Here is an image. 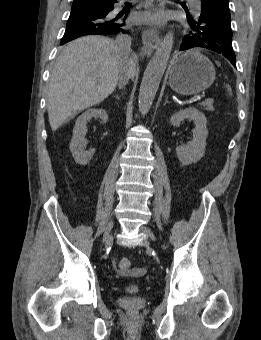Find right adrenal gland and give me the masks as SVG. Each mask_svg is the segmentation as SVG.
Instances as JSON below:
<instances>
[{"label":"right adrenal gland","mask_w":261,"mask_h":340,"mask_svg":"<svg viewBox=\"0 0 261 340\" xmlns=\"http://www.w3.org/2000/svg\"><path fill=\"white\" fill-rule=\"evenodd\" d=\"M115 97H116V99H117V100H119V98H120V96H119V95H116Z\"/></svg>","instance_id":"right-adrenal-gland-1"}]
</instances>
